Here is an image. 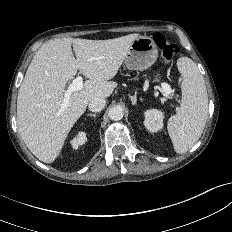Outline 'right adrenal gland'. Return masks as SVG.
<instances>
[{"label": "right adrenal gland", "mask_w": 232, "mask_h": 232, "mask_svg": "<svg viewBox=\"0 0 232 232\" xmlns=\"http://www.w3.org/2000/svg\"><path fill=\"white\" fill-rule=\"evenodd\" d=\"M96 115H97L96 113H89V114H87V116H91V117H94V118L96 117Z\"/></svg>", "instance_id": "2a0ac1e0"}]
</instances>
